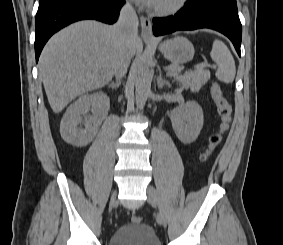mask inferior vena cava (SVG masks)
Wrapping results in <instances>:
<instances>
[{
  "instance_id": "1",
  "label": "inferior vena cava",
  "mask_w": 283,
  "mask_h": 245,
  "mask_svg": "<svg viewBox=\"0 0 283 245\" xmlns=\"http://www.w3.org/2000/svg\"><path fill=\"white\" fill-rule=\"evenodd\" d=\"M138 17L130 5L122 7L118 22L114 25L122 43L119 58L115 68L116 79L125 76L130 64L131 55L128 50L130 43L137 34Z\"/></svg>"
}]
</instances>
